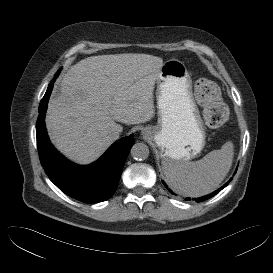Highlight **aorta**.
I'll use <instances>...</instances> for the list:
<instances>
[{"instance_id":"aorta-1","label":"aorta","mask_w":273,"mask_h":273,"mask_svg":"<svg viewBox=\"0 0 273 273\" xmlns=\"http://www.w3.org/2000/svg\"><path fill=\"white\" fill-rule=\"evenodd\" d=\"M130 153L136 160H145L149 156V148L144 143H136L132 146Z\"/></svg>"}]
</instances>
